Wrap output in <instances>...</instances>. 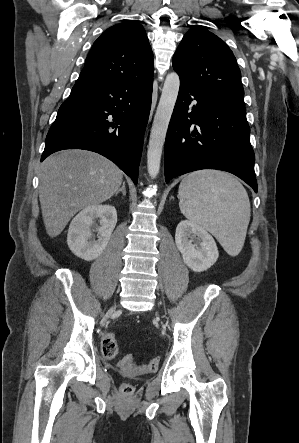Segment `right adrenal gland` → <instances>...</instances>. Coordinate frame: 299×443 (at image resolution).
Here are the masks:
<instances>
[{"label": "right adrenal gland", "mask_w": 299, "mask_h": 443, "mask_svg": "<svg viewBox=\"0 0 299 443\" xmlns=\"http://www.w3.org/2000/svg\"><path fill=\"white\" fill-rule=\"evenodd\" d=\"M119 192H122L123 196H126L125 182H123L122 187L115 193V196H117Z\"/></svg>", "instance_id": "right-adrenal-gland-1"}]
</instances>
